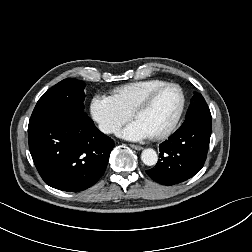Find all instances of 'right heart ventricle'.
I'll list each match as a JSON object with an SVG mask.
<instances>
[{
	"instance_id": "e07e8e85",
	"label": "right heart ventricle",
	"mask_w": 252,
	"mask_h": 252,
	"mask_svg": "<svg viewBox=\"0 0 252 252\" xmlns=\"http://www.w3.org/2000/svg\"><path fill=\"white\" fill-rule=\"evenodd\" d=\"M161 79L135 81L116 87L111 97L125 110L133 112L136 105L154 88L165 84Z\"/></svg>"
}]
</instances>
